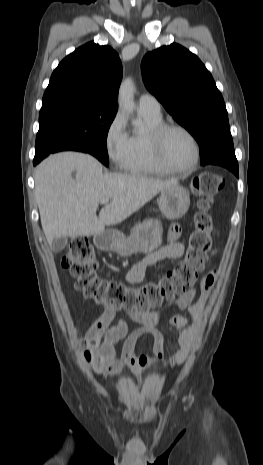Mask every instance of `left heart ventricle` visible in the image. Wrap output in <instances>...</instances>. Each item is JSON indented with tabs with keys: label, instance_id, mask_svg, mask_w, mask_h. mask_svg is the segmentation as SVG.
Instances as JSON below:
<instances>
[{
	"label": "left heart ventricle",
	"instance_id": "b2bd125f",
	"mask_svg": "<svg viewBox=\"0 0 263 465\" xmlns=\"http://www.w3.org/2000/svg\"><path fill=\"white\" fill-rule=\"evenodd\" d=\"M164 155L168 163L176 168L189 167L195 157L191 140L182 132L172 130L164 139Z\"/></svg>",
	"mask_w": 263,
	"mask_h": 465
}]
</instances>
